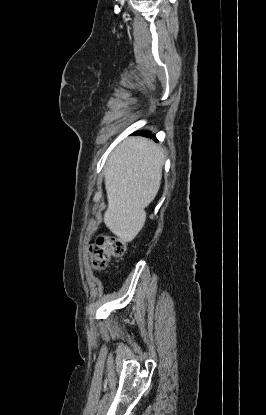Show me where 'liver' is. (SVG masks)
<instances>
[{
    "label": "liver",
    "mask_w": 266,
    "mask_h": 415,
    "mask_svg": "<svg viewBox=\"0 0 266 415\" xmlns=\"http://www.w3.org/2000/svg\"><path fill=\"white\" fill-rule=\"evenodd\" d=\"M164 161L163 148L143 137L126 139L109 156L104 223L121 241H132L143 228L144 208L158 193Z\"/></svg>",
    "instance_id": "6515ba94"
}]
</instances>
